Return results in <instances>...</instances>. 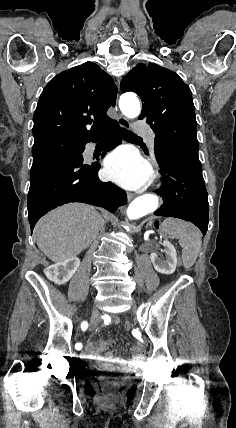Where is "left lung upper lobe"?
<instances>
[{"instance_id":"1","label":"left lung upper lobe","mask_w":236,"mask_h":428,"mask_svg":"<svg viewBox=\"0 0 236 428\" xmlns=\"http://www.w3.org/2000/svg\"><path fill=\"white\" fill-rule=\"evenodd\" d=\"M120 88L140 96L139 119H146L156 134L158 163L166 152L199 161L192 94L175 72L154 63L138 64L122 79Z\"/></svg>"}]
</instances>
